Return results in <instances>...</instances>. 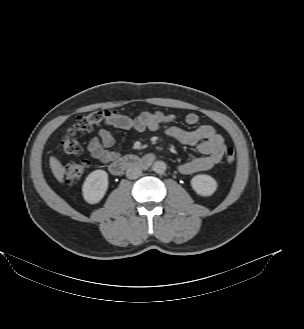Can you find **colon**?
<instances>
[{"instance_id": "obj_1", "label": "colon", "mask_w": 304, "mask_h": 329, "mask_svg": "<svg viewBox=\"0 0 304 329\" xmlns=\"http://www.w3.org/2000/svg\"><path fill=\"white\" fill-rule=\"evenodd\" d=\"M119 113L108 110L95 111L86 115L79 116L73 126L64 134L61 140V148L66 154H78L81 152V146L75 136L90 131L95 126L107 123L114 115ZM122 115V114H121ZM145 121L150 119L148 114H141ZM236 159L234 149L226 150L225 160L228 164H233ZM88 163L85 160L67 164L64 167V179L66 183H72L79 180L86 172Z\"/></svg>"}]
</instances>
